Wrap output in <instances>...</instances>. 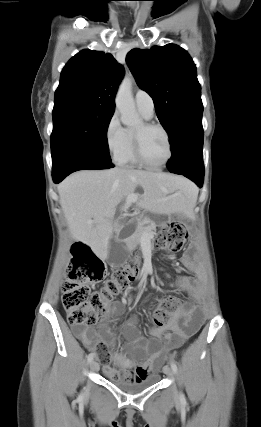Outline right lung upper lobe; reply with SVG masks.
Masks as SVG:
<instances>
[{
  "instance_id": "1",
  "label": "right lung upper lobe",
  "mask_w": 261,
  "mask_h": 427,
  "mask_svg": "<svg viewBox=\"0 0 261 427\" xmlns=\"http://www.w3.org/2000/svg\"><path fill=\"white\" fill-rule=\"evenodd\" d=\"M123 75V67L111 54L82 50L61 72L54 109L86 106L114 111L115 94Z\"/></svg>"
}]
</instances>
